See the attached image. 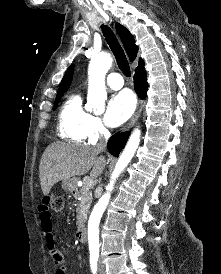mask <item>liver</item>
<instances>
[{
  "mask_svg": "<svg viewBox=\"0 0 221 274\" xmlns=\"http://www.w3.org/2000/svg\"><path fill=\"white\" fill-rule=\"evenodd\" d=\"M100 150L79 144L54 142L44 151L40 165L39 178L43 194H49L51 188L59 181L86 174L96 179L102 174L106 159L99 156Z\"/></svg>",
  "mask_w": 221,
  "mask_h": 274,
  "instance_id": "1",
  "label": "liver"
}]
</instances>
